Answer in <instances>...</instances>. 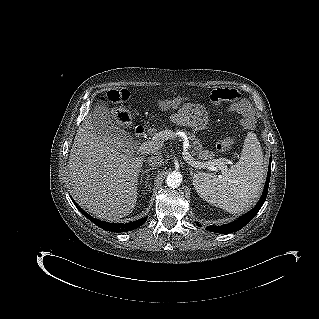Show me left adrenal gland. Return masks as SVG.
I'll return each instance as SVG.
<instances>
[{
    "label": "left adrenal gland",
    "mask_w": 319,
    "mask_h": 319,
    "mask_svg": "<svg viewBox=\"0 0 319 319\" xmlns=\"http://www.w3.org/2000/svg\"><path fill=\"white\" fill-rule=\"evenodd\" d=\"M190 173H191V175H193L192 168H190Z\"/></svg>",
    "instance_id": "1"
}]
</instances>
